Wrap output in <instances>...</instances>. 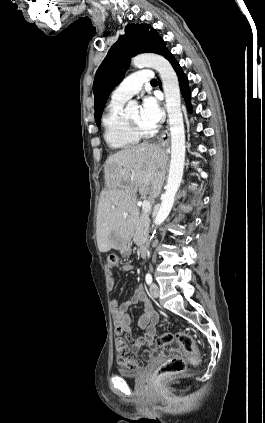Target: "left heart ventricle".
I'll return each mask as SVG.
<instances>
[{
	"label": "left heart ventricle",
	"mask_w": 265,
	"mask_h": 423,
	"mask_svg": "<svg viewBox=\"0 0 265 423\" xmlns=\"http://www.w3.org/2000/svg\"><path fill=\"white\" fill-rule=\"evenodd\" d=\"M133 122H135V123H137V124H139V125H141V126H144V127H146L144 124H143V122H142V120H141V112H140V109H136V110H134L133 112H131L130 114H129V116H128Z\"/></svg>",
	"instance_id": "1"
}]
</instances>
